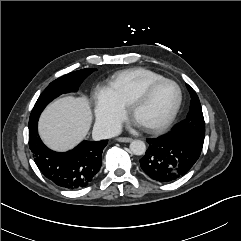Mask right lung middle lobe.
Instances as JSON below:
<instances>
[{
    "label": "right lung middle lobe",
    "instance_id": "1",
    "mask_svg": "<svg viewBox=\"0 0 241 241\" xmlns=\"http://www.w3.org/2000/svg\"><path fill=\"white\" fill-rule=\"evenodd\" d=\"M94 71L95 68L78 70L59 77L51 82L36 101L30 115L29 126L38 121L41 112L49 102L63 93L77 91L79 85L84 81V79H86Z\"/></svg>",
    "mask_w": 241,
    "mask_h": 241
}]
</instances>
